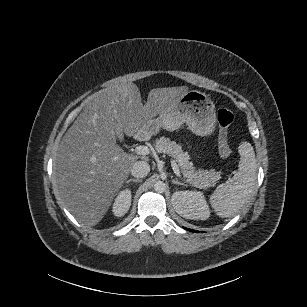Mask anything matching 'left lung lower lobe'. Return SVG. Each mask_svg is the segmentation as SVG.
I'll return each instance as SVG.
<instances>
[{"instance_id":"0a47b994","label":"left lung lower lobe","mask_w":307,"mask_h":307,"mask_svg":"<svg viewBox=\"0 0 307 307\" xmlns=\"http://www.w3.org/2000/svg\"><path fill=\"white\" fill-rule=\"evenodd\" d=\"M187 230L192 231V232H197V231H195V230H191V229H187Z\"/></svg>"}]
</instances>
